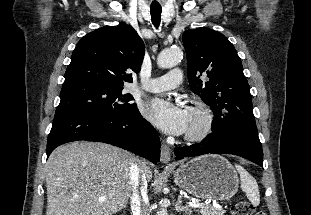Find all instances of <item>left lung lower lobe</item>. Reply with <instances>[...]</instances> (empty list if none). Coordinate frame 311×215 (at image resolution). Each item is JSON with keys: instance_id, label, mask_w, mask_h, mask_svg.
Here are the masks:
<instances>
[{"instance_id": "0a47b994", "label": "left lung lower lobe", "mask_w": 311, "mask_h": 215, "mask_svg": "<svg viewBox=\"0 0 311 215\" xmlns=\"http://www.w3.org/2000/svg\"><path fill=\"white\" fill-rule=\"evenodd\" d=\"M176 159L208 153L234 154L246 158L259 166L263 165V152L257 127L252 122H238L220 131H213L200 143L176 147Z\"/></svg>"}]
</instances>
